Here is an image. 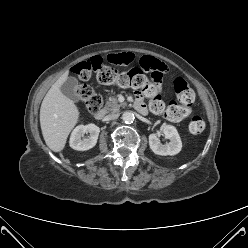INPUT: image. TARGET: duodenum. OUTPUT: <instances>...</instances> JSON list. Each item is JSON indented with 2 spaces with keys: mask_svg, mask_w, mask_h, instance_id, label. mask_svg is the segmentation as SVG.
<instances>
[{
  "mask_svg": "<svg viewBox=\"0 0 248 248\" xmlns=\"http://www.w3.org/2000/svg\"><path fill=\"white\" fill-rule=\"evenodd\" d=\"M134 107L139 112H143L144 111V109L142 108V106L139 103H137V102H135ZM104 114H105L104 110L103 109H100V110H98L97 112L94 113V118L97 119V120H100V119L103 118Z\"/></svg>",
  "mask_w": 248,
  "mask_h": 248,
  "instance_id": "duodenum-1",
  "label": "duodenum"
}]
</instances>
